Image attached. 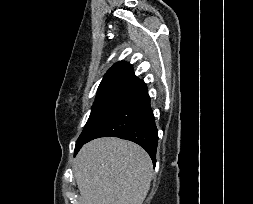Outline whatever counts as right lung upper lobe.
<instances>
[{
    "mask_svg": "<svg viewBox=\"0 0 253 204\" xmlns=\"http://www.w3.org/2000/svg\"><path fill=\"white\" fill-rule=\"evenodd\" d=\"M121 82H136L141 83L142 80L138 79L129 63L120 61L114 64L105 74L99 87Z\"/></svg>",
    "mask_w": 253,
    "mask_h": 204,
    "instance_id": "obj_1",
    "label": "right lung upper lobe"
}]
</instances>
